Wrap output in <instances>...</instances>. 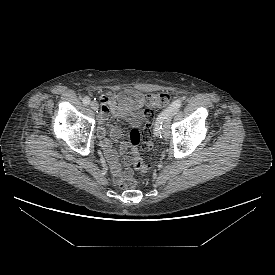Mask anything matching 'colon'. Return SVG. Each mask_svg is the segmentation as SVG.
<instances>
[{
  "label": "colon",
  "mask_w": 275,
  "mask_h": 275,
  "mask_svg": "<svg viewBox=\"0 0 275 275\" xmlns=\"http://www.w3.org/2000/svg\"><path fill=\"white\" fill-rule=\"evenodd\" d=\"M170 96L165 92L151 93L146 95L145 102L150 108H161L168 104ZM146 124L140 130L139 128H133L130 130L129 139L132 147V158L134 166L137 170L141 172H146L149 170V165L144 163L139 155V150L147 151L153 147L152 142V132L150 123L153 119V112L150 109H146L144 112ZM137 180L134 178H126L121 183L120 186L125 189H130L135 187Z\"/></svg>",
  "instance_id": "5ec220e1"
}]
</instances>
